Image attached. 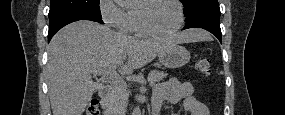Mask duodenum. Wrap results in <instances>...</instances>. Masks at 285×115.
I'll use <instances>...</instances> for the list:
<instances>
[{
    "label": "duodenum",
    "mask_w": 285,
    "mask_h": 115,
    "mask_svg": "<svg viewBox=\"0 0 285 115\" xmlns=\"http://www.w3.org/2000/svg\"><path fill=\"white\" fill-rule=\"evenodd\" d=\"M110 92V87L108 85H103L99 89V95L101 98H107Z\"/></svg>",
    "instance_id": "obj_1"
}]
</instances>
